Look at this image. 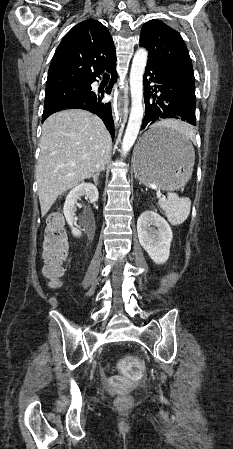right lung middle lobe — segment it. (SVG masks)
Masks as SVG:
<instances>
[{"mask_svg":"<svg viewBox=\"0 0 233 449\" xmlns=\"http://www.w3.org/2000/svg\"><path fill=\"white\" fill-rule=\"evenodd\" d=\"M91 92V88L88 84L68 85L47 90L45 94L44 110L53 108L65 102L84 98Z\"/></svg>","mask_w":233,"mask_h":449,"instance_id":"obj_1","label":"right lung middle lobe"}]
</instances>
